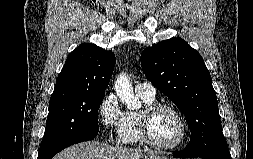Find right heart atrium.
Listing matches in <instances>:
<instances>
[{
    "mask_svg": "<svg viewBox=\"0 0 253 159\" xmlns=\"http://www.w3.org/2000/svg\"><path fill=\"white\" fill-rule=\"evenodd\" d=\"M98 115L101 125L109 139L115 142H121L125 123V112H123L114 93L105 95L101 100Z\"/></svg>",
    "mask_w": 253,
    "mask_h": 159,
    "instance_id": "right-heart-atrium-1",
    "label": "right heart atrium"
}]
</instances>
